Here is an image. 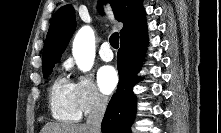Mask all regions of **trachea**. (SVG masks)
I'll return each instance as SVG.
<instances>
[{
    "instance_id": "obj_1",
    "label": "trachea",
    "mask_w": 221,
    "mask_h": 133,
    "mask_svg": "<svg viewBox=\"0 0 221 133\" xmlns=\"http://www.w3.org/2000/svg\"><path fill=\"white\" fill-rule=\"evenodd\" d=\"M110 44L113 48L117 49L119 47V34L113 33L109 39Z\"/></svg>"
}]
</instances>
